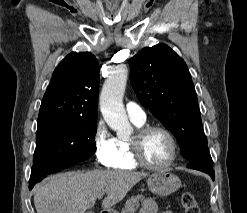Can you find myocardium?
Here are the masks:
<instances>
[{"label": "myocardium", "instance_id": "obj_1", "mask_svg": "<svg viewBox=\"0 0 247 213\" xmlns=\"http://www.w3.org/2000/svg\"><path fill=\"white\" fill-rule=\"evenodd\" d=\"M152 131H160L164 133L170 142V146H171L170 157L168 161L162 165L151 164L147 162L142 155V151H141L142 141L144 137ZM129 148H130L132 160L138 166L154 171H162L168 169L174 164L178 155V143L175 136L169 129L161 125H145L139 127L135 131L134 135L129 139Z\"/></svg>", "mask_w": 247, "mask_h": 213}]
</instances>
